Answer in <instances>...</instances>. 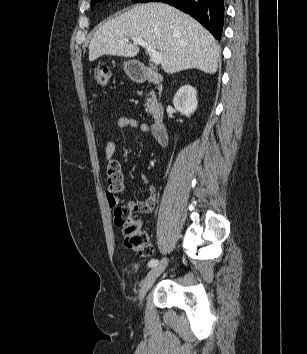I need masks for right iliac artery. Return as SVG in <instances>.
<instances>
[{"label":"right iliac artery","mask_w":307,"mask_h":354,"mask_svg":"<svg viewBox=\"0 0 307 354\" xmlns=\"http://www.w3.org/2000/svg\"><path fill=\"white\" fill-rule=\"evenodd\" d=\"M159 264V261L157 259H151L149 262H148V267H156L157 265Z\"/></svg>","instance_id":"82829eb1"}]
</instances>
